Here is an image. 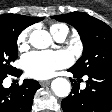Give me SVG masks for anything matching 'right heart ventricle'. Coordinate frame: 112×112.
Returning <instances> with one entry per match:
<instances>
[{
    "instance_id": "e07e8e85",
    "label": "right heart ventricle",
    "mask_w": 112,
    "mask_h": 112,
    "mask_svg": "<svg viewBox=\"0 0 112 112\" xmlns=\"http://www.w3.org/2000/svg\"><path fill=\"white\" fill-rule=\"evenodd\" d=\"M49 29L55 38L61 33L68 32L67 26L65 24H61V23H52L50 25Z\"/></svg>"
}]
</instances>
